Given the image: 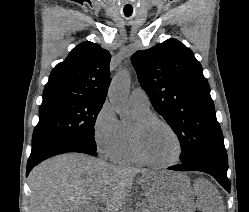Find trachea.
<instances>
[{
    "mask_svg": "<svg viewBox=\"0 0 249 212\" xmlns=\"http://www.w3.org/2000/svg\"><path fill=\"white\" fill-rule=\"evenodd\" d=\"M125 15H126L127 17H130L131 13H125Z\"/></svg>",
    "mask_w": 249,
    "mask_h": 212,
    "instance_id": "3493384b",
    "label": "trachea"
}]
</instances>
